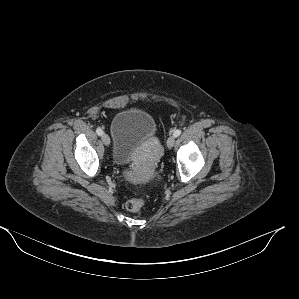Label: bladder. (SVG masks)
<instances>
[{
  "label": "bladder",
  "mask_w": 299,
  "mask_h": 299,
  "mask_svg": "<svg viewBox=\"0 0 299 299\" xmlns=\"http://www.w3.org/2000/svg\"><path fill=\"white\" fill-rule=\"evenodd\" d=\"M114 162L123 166L131 161L133 152L143 143L152 141L156 122L147 112L128 109L118 113L111 123Z\"/></svg>",
  "instance_id": "31cf9c89"
}]
</instances>
